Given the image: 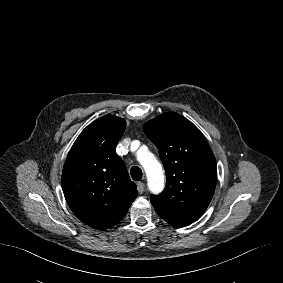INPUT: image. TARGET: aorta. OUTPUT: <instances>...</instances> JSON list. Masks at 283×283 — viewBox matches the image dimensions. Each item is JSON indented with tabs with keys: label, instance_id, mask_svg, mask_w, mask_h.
<instances>
[{
	"label": "aorta",
	"instance_id": "obj_1",
	"mask_svg": "<svg viewBox=\"0 0 283 283\" xmlns=\"http://www.w3.org/2000/svg\"><path fill=\"white\" fill-rule=\"evenodd\" d=\"M137 159L146 172L149 190L154 194L160 193L164 188L165 177L159 161L151 152L143 149L138 151Z\"/></svg>",
	"mask_w": 283,
	"mask_h": 283
}]
</instances>
